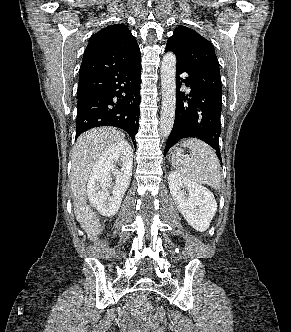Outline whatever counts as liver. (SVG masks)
Listing matches in <instances>:
<instances>
[{
	"mask_svg": "<svg viewBox=\"0 0 291 332\" xmlns=\"http://www.w3.org/2000/svg\"><path fill=\"white\" fill-rule=\"evenodd\" d=\"M124 141L123 133L115 128L102 127L83 133L74 145L70 177L73 205L77 221L91 240L97 239L101 225L87 203V180L101 153L115 143Z\"/></svg>",
	"mask_w": 291,
	"mask_h": 332,
	"instance_id": "1",
	"label": "liver"
}]
</instances>
